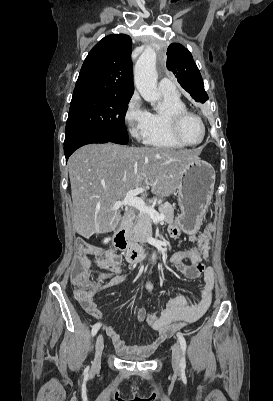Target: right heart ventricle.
I'll return each mask as SVG.
<instances>
[{
  "label": "right heart ventricle",
  "mask_w": 273,
  "mask_h": 401,
  "mask_svg": "<svg viewBox=\"0 0 273 401\" xmlns=\"http://www.w3.org/2000/svg\"><path fill=\"white\" fill-rule=\"evenodd\" d=\"M165 109L162 112L149 114L148 129L144 142L147 145L163 148H183L171 135L169 129V114L174 111L186 109V105L179 93L162 95Z\"/></svg>",
  "instance_id": "1"
}]
</instances>
